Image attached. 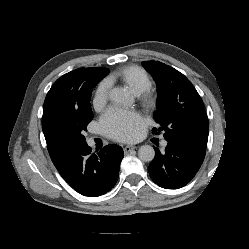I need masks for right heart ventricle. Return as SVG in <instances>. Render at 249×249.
Here are the masks:
<instances>
[{
	"label": "right heart ventricle",
	"instance_id": "right-heart-ventricle-1",
	"mask_svg": "<svg viewBox=\"0 0 249 249\" xmlns=\"http://www.w3.org/2000/svg\"><path fill=\"white\" fill-rule=\"evenodd\" d=\"M112 81H121L135 95H140L152 86L149 74L139 66H126L111 75Z\"/></svg>",
	"mask_w": 249,
	"mask_h": 249
}]
</instances>
